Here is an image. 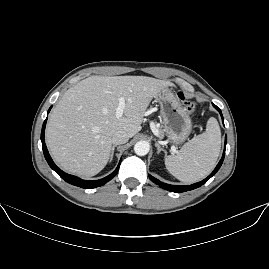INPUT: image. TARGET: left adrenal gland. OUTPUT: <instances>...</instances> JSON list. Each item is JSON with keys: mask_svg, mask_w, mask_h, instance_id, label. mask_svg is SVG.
Returning a JSON list of instances; mask_svg holds the SVG:
<instances>
[{"mask_svg": "<svg viewBox=\"0 0 269 269\" xmlns=\"http://www.w3.org/2000/svg\"><path fill=\"white\" fill-rule=\"evenodd\" d=\"M155 147H157V154H159L161 151L166 153V150L161 148L158 142H155Z\"/></svg>", "mask_w": 269, "mask_h": 269, "instance_id": "a2214340", "label": "left adrenal gland"}]
</instances>
